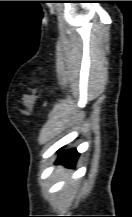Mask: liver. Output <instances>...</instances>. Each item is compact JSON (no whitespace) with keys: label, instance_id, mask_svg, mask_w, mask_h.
<instances>
[{"label":"liver","instance_id":"liver-1","mask_svg":"<svg viewBox=\"0 0 132 217\" xmlns=\"http://www.w3.org/2000/svg\"><path fill=\"white\" fill-rule=\"evenodd\" d=\"M61 170V168L59 167L58 169H57V172H59Z\"/></svg>","mask_w":132,"mask_h":217}]
</instances>
